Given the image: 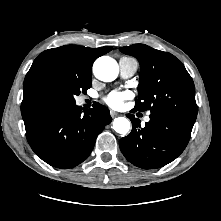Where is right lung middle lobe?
<instances>
[{
    "instance_id": "right-lung-middle-lobe-1",
    "label": "right lung middle lobe",
    "mask_w": 221,
    "mask_h": 221,
    "mask_svg": "<svg viewBox=\"0 0 221 221\" xmlns=\"http://www.w3.org/2000/svg\"><path fill=\"white\" fill-rule=\"evenodd\" d=\"M92 75L77 73L57 74L47 78L40 87V92L47 103H75L74 96L91 87Z\"/></svg>"
}]
</instances>
